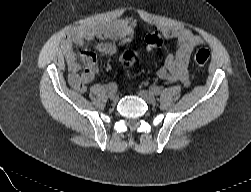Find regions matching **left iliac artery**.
<instances>
[{
  "label": "left iliac artery",
  "instance_id": "left-iliac-artery-1",
  "mask_svg": "<svg viewBox=\"0 0 251 192\" xmlns=\"http://www.w3.org/2000/svg\"><path fill=\"white\" fill-rule=\"evenodd\" d=\"M150 91L155 94V95H159L161 93V89L160 87L153 85L150 87Z\"/></svg>",
  "mask_w": 251,
  "mask_h": 192
}]
</instances>
